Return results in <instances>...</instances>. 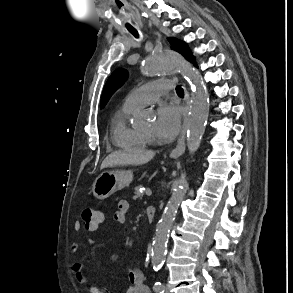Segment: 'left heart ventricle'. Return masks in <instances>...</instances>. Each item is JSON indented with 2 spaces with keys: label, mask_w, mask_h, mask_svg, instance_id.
<instances>
[{
  "label": "left heart ventricle",
  "mask_w": 293,
  "mask_h": 293,
  "mask_svg": "<svg viewBox=\"0 0 293 293\" xmlns=\"http://www.w3.org/2000/svg\"><path fill=\"white\" fill-rule=\"evenodd\" d=\"M154 132L153 125H150L147 129H145L144 133L152 135Z\"/></svg>",
  "instance_id": "1"
}]
</instances>
